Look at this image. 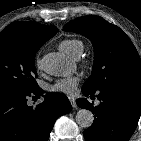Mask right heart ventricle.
Instances as JSON below:
<instances>
[{
  "mask_svg": "<svg viewBox=\"0 0 141 141\" xmlns=\"http://www.w3.org/2000/svg\"><path fill=\"white\" fill-rule=\"evenodd\" d=\"M59 49L72 58H79L84 50V44L80 39L70 38L59 43Z\"/></svg>",
  "mask_w": 141,
  "mask_h": 141,
  "instance_id": "obj_1",
  "label": "right heart ventricle"
}]
</instances>
